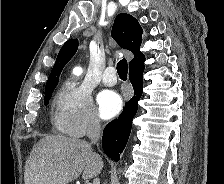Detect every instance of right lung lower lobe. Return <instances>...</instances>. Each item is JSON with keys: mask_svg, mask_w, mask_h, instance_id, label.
Returning <instances> with one entry per match:
<instances>
[{"mask_svg": "<svg viewBox=\"0 0 224 184\" xmlns=\"http://www.w3.org/2000/svg\"><path fill=\"white\" fill-rule=\"evenodd\" d=\"M144 66L129 71V79L134 89V96L126 103L118 119L110 122L103 131L102 148L111 159L118 161L124 150L132 126V120L138 109V101L143 90Z\"/></svg>", "mask_w": 224, "mask_h": 184, "instance_id": "98d812e1", "label": "right lung lower lobe"}]
</instances>
